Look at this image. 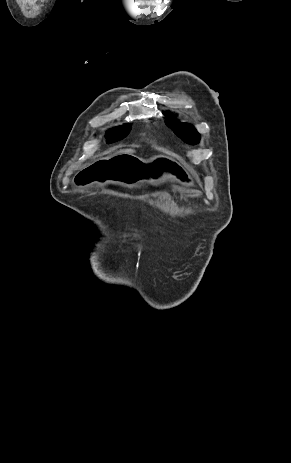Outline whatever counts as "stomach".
Segmentation results:
<instances>
[{"label":"stomach","mask_w":291,"mask_h":463,"mask_svg":"<svg viewBox=\"0 0 291 463\" xmlns=\"http://www.w3.org/2000/svg\"><path fill=\"white\" fill-rule=\"evenodd\" d=\"M114 181L127 187L141 183L175 182L194 186L195 180L187 167L178 159L157 154L148 160L124 151L114 157H96L95 162L78 173L75 184Z\"/></svg>","instance_id":"1"}]
</instances>
